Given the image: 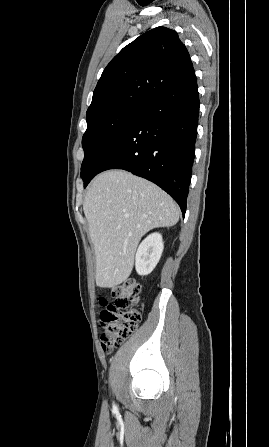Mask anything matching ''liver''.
<instances>
[{
    "label": "liver",
    "instance_id": "1",
    "mask_svg": "<svg viewBox=\"0 0 269 447\" xmlns=\"http://www.w3.org/2000/svg\"><path fill=\"white\" fill-rule=\"evenodd\" d=\"M83 210L95 249L99 287H115L129 277L144 233L179 220L178 206L166 192L123 170L99 174L86 194Z\"/></svg>",
    "mask_w": 269,
    "mask_h": 447
}]
</instances>
